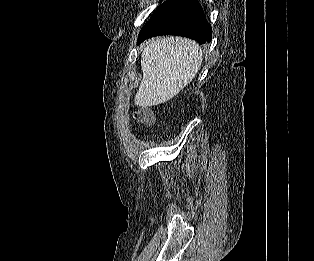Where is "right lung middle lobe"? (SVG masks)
Segmentation results:
<instances>
[{"mask_svg":"<svg viewBox=\"0 0 314 261\" xmlns=\"http://www.w3.org/2000/svg\"><path fill=\"white\" fill-rule=\"evenodd\" d=\"M173 2H175V0H167L166 2H164L160 7H158L155 12L153 13L151 19H153L154 17H156L157 15H159L163 10H165L168 6H170ZM150 19V20H151Z\"/></svg>","mask_w":314,"mask_h":261,"instance_id":"dd1d6c3e","label":"right lung middle lobe"}]
</instances>
